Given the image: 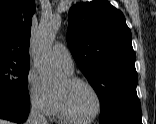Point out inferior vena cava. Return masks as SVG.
I'll return each instance as SVG.
<instances>
[{
    "mask_svg": "<svg viewBox=\"0 0 156 124\" xmlns=\"http://www.w3.org/2000/svg\"><path fill=\"white\" fill-rule=\"evenodd\" d=\"M26 124H48L41 109L36 104H32Z\"/></svg>",
    "mask_w": 156,
    "mask_h": 124,
    "instance_id": "602c4592",
    "label": "inferior vena cava"
}]
</instances>
